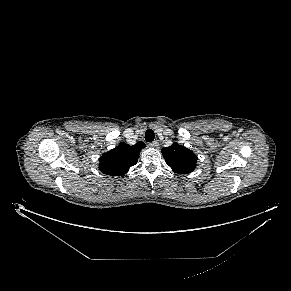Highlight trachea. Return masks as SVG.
Wrapping results in <instances>:
<instances>
[{"mask_svg":"<svg viewBox=\"0 0 291 291\" xmlns=\"http://www.w3.org/2000/svg\"><path fill=\"white\" fill-rule=\"evenodd\" d=\"M155 138V133L152 129H148L146 132H145V140L147 142H152Z\"/></svg>","mask_w":291,"mask_h":291,"instance_id":"3493384b","label":"trachea"}]
</instances>
